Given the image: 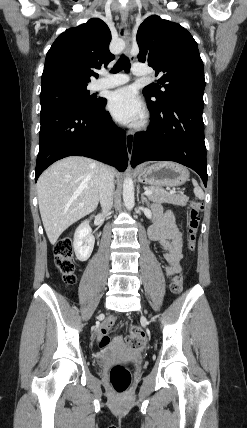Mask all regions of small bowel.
<instances>
[{"label": "small bowel", "instance_id": "small-bowel-1", "mask_svg": "<svg viewBox=\"0 0 247 428\" xmlns=\"http://www.w3.org/2000/svg\"><path fill=\"white\" fill-rule=\"evenodd\" d=\"M155 222L149 229V236L153 241L160 242L167 261L166 274L171 276L181 269L182 233L178 229L174 216L170 211L162 212L155 208ZM103 335L102 329L97 333V339Z\"/></svg>", "mask_w": 247, "mask_h": 428}]
</instances>
